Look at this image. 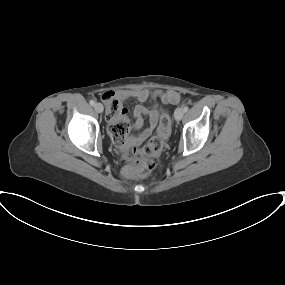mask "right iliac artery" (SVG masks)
<instances>
[{"mask_svg":"<svg viewBox=\"0 0 285 285\" xmlns=\"http://www.w3.org/2000/svg\"><path fill=\"white\" fill-rule=\"evenodd\" d=\"M89 103H90L91 106L95 105V101L94 100H91Z\"/></svg>","mask_w":285,"mask_h":285,"instance_id":"82829eb1","label":"right iliac artery"}]
</instances>
